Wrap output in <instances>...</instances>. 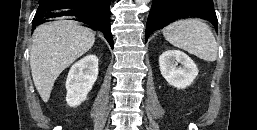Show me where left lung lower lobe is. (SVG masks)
Segmentation results:
<instances>
[{
    "instance_id": "left-lung-lower-lobe-1",
    "label": "left lung lower lobe",
    "mask_w": 257,
    "mask_h": 130,
    "mask_svg": "<svg viewBox=\"0 0 257 130\" xmlns=\"http://www.w3.org/2000/svg\"><path fill=\"white\" fill-rule=\"evenodd\" d=\"M188 17H198L217 27V16L212 0H153L146 24V41L151 32L169 23Z\"/></svg>"
}]
</instances>
